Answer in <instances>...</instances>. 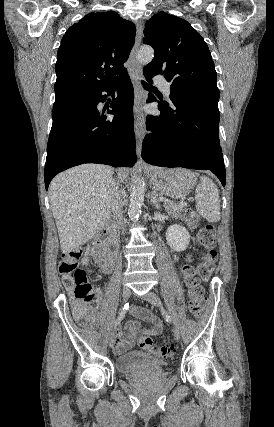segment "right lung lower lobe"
<instances>
[{
  "label": "right lung lower lobe",
  "mask_w": 274,
  "mask_h": 427,
  "mask_svg": "<svg viewBox=\"0 0 274 427\" xmlns=\"http://www.w3.org/2000/svg\"><path fill=\"white\" fill-rule=\"evenodd\" d=\"M123 88L112 100L106 113L97 105L104 102L103 91L110 93L115 85L86 97L53 105V124L47 145L45 186L59 172L83 163L131 167L136 161L133 125V86L129 76L116 84Z\"/></svg>",
  "instance_id": "98d812e1"
}]
</instances>
